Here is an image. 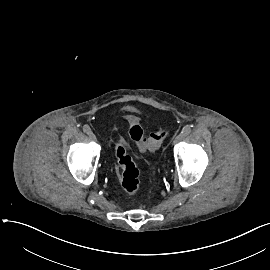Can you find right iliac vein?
Here are the masks:
<instances>
[{
	"mask_svg": "<svg viewBox=\"0 0 270 270\" xmlns=\"http://www.w3.org/2000/svg\"><path fill=\"white\" fill-rule=\"evenodd\" d=\"M89 138L92 140V141H96V136L93 132H90L89 133Z\"/></svg>",
	"mask_w": 270,
	"mask_h": 270,
	"instance_id": "obj_1",
	"label": "right iliac vein"
}]
</instances>
